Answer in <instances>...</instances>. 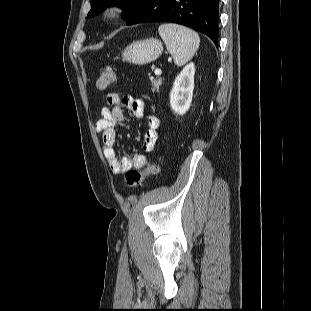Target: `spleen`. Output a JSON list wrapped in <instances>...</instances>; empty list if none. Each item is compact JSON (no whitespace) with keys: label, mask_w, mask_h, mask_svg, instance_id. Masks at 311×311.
Here are the masks:
<instances>
[{"label":"spleen","mask_w":311,"mask_h":311,"mask_svg":"<svg viewBox=\"0 0 311 311\" xmlns=\"http://www.w3.org/2000/svg\"><path fill=\"white\" fill-rule=\"evenodd\" d=\"M158 31L176 65L182 66L192 59L200 44L195 31L173 23L160 25Z\"/></svg>","instance_id":"3e777b00"}]
</instances>
